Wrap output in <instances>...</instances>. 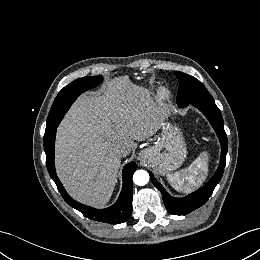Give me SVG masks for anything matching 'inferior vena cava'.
Listing matches in <instances>:
<instances>
[{
  "instance_id": "inferior-vena-cava-1",
  "label": "inferior vena cava",
  "mask_w": 260,
  "mask_h": 260,
  "mask_svg": "<svg viewBox=\"0 0 260 260\" xmlns=\"http://www.w3.org/2000/svg\"><path fill=\"white\" fill-rule=\"evenodd\" d=\"M113 150L115 154L119 157L127 156L129 153V149L123 144L116 145Z\"/></svg>"
}]
</instances>
